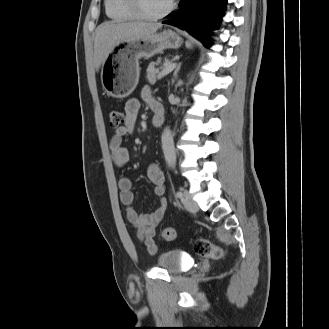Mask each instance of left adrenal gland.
<instances>
[{"mask_svg": "<svg viewBox=\"0 0 329 329\" xmlns=\"http://www.w3.org/2000/svg\"><path fill=\"white\" fill-rule=\"evenodd\" d=\"M180 67H181V63H179V64L177 65V67H176V69H175V71H174V77H175V78L177 77V74H178V72H179V70H180Z\"/></svg>", "mask_w": 329, "mask_h": 329, "instance_id": "1", "label": "left adrenal gland"}]
</instances>
